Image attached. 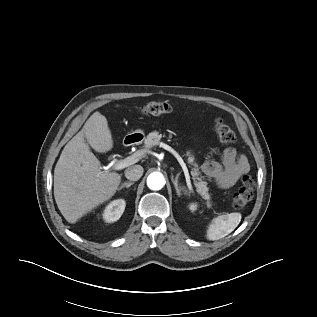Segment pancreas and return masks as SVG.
Segmentation results:
<instances>
[{
    "label": "pancreas",
    "instance_id": "obj_1",
    "mask_svg": "<svg viewBox=\"0 0 317 317\" xmlns=\"http://www.w3.org/2000/svg\"><path fill=\"white\" fill-rule=\"evenodd\" d=\"M162 137H165L164 134H160L157 131L149 133L145 140V148L150 149L156 145L160 144V140ZM187 157L188 163L193 167L192 171L194 173V185L196 187V191L205 199L208 200V207H211L209 203L210 195L208 193L207 182L203 181V176H201V172L199 171L198 164L195 162V157L191 150H187L185 153Z\"/></svg>",
    "mask_w": 317,
    "mask_h": 317
}]
</instances>
